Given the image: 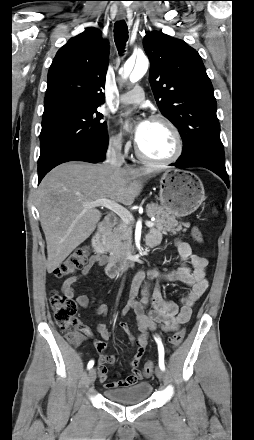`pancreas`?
<instances>
[{
  "label": "pancreas",
  "instance_id": "pancreas-1",
  "mask_svg": "<svg viewBox=\"0 0 254 440\" xmlns=\"http://www.w3.org/2000/svg\"><path fill=\"white\" fill-rule=\"evenodd\" d=\"M148 217H154V226L163 234L171 233L176 235L181 230L186 231L190 227V223H179L173 215L165 211L157 204H148L146 207ZM182 226L185 228L183 229ZM132 224L119 221L104 238V246L110 253V257L123 256L126 252L128 244L131 242Z\"/></svg>",
  "mask_w": 254,
  "mask_h": 440
}]
</instances>
